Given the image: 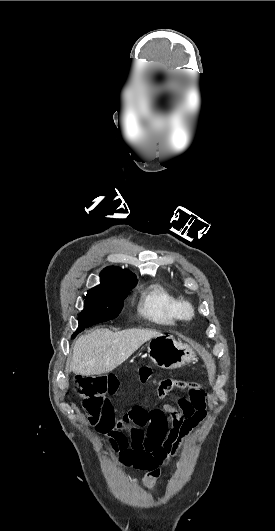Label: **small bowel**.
I'll return each instance as SVG.
<instances>
[{
  "label": "small bowel",
  "mask_w": 275,
  "mask_h": 531,
  "mask_svg": "<svg viewBox=\"0 0 275 531\" xmlns=\"http://www.w3.org/2000/svg\"><path fill=\"white\" fill-rule=\"evenodd\" d=\"M137 374L140 382L146 384L152 371L148 367H141ZM106 381L108 389L101 405L102 414L104 417H115L119 410L115 407L114 399L122 384V377L109 375ZM202 389L201 384L196 390H185L181 386L182 392H194L197 397L202 396ZM204 399L195 398L191 402L190 399L181 398L176 405L150 410L135 406L114 418L111 424L101 427L100 432L110 445L123 451L121 460L124 464L146 471L143 483L155 480L160 477L161 467L167 459L179 454L187 435L205 421L208 396L204 395ZM153 439H160L159 445L155 446Z\"/></svg>",
  "instance_id": "small-bowel-1"
}]
</instances>
